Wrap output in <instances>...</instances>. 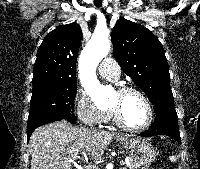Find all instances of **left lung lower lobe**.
Listing matches in <instances>:
<instances>
[{
    "instance_id": "left-lung-lower-lobe-1",
    "label": "left lung lower lobe",
    "mask_w": 200,
    "mask_h": 169,
    "mask_svg": "<svg viewBox=\"0 0 200 169\" xmlns=\"http://www.w3.org/2000/svg\"><path fill=\"white\" fill-rule=\"evenodd\" d=\"M156 135H167L181 143L176 112L159 113L156 115L155 122L151 127L147 131L139 134V136L143 137H152Z\"/></svg>"
}]
</instances>
